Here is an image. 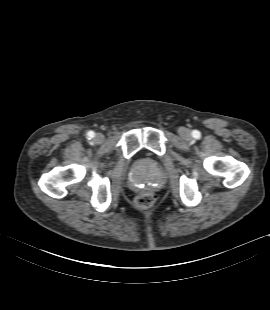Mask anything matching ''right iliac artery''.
<instances>
[{
  "instance_id": "right-iliac-artery-1",
  "label": "right iliac artery",
  "mask_w": 270,
  "mask_h": 310,
  "mask_svg": "<svg viewBox=\"0 0 270 310\" xmlns=\"http://www.w3.org/2000/svg\"><path fill=\"white\" fill-rule=\"evenodd\" d=\"M87 136H88L89 139L93 138L94 137V132L89 131Z\"/></svg>"
}]
</instances>
